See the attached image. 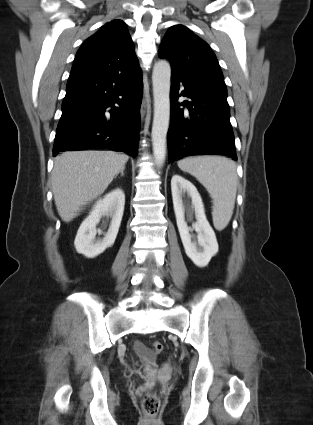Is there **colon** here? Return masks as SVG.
<instances>
[{
  "mask_svg": "<svg viewBox=\"0 0 313 425\" xmlns=\"http://www.w3.org/2000/svg\"><path fill=\"white\" fill-rule=\"evenodd\" d=\"M152 349L154 353H160L163 350V344L159 341H155L152 344ZM160 402L155 393H147L142 399L141 407L143 412L148 417H154L159 410Z\"/></svg>",
  "mask_w": 313,
  "mask_h": 425,
  "instance_id": "colon-1",
  "label": "colon"
}]
</instances>
